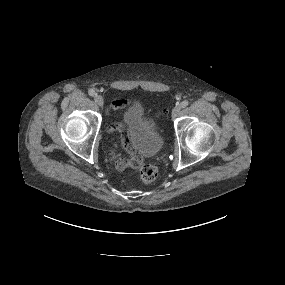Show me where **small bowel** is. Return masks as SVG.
I'll list each match as a JSON object with an SVG mask.
<instances>
[{
	"mask_svg": "<svg viewBox=\"0 0 285 285\" xmlns=\"http://www.w3.org/2000/svg\"><path fill=\"white\" fill-rule=\"evenodd\" d=\"M129 103H130L129 101L123 99L114 100L110 105V109L113 110L122 109L128 106ZM117 126L121 127V129L123 130V127L120 124L114 125L113 127H111V130H115V127ZM129 167L131 166L128 164V160L121 159L117 162V169L120 171H124Z\"/></svg>",
	"mask_w": 285,
	"mask_h": 285,
	"instance_id": "small-bowel-1",
	"label": "small bowel"
}]
</instances>
